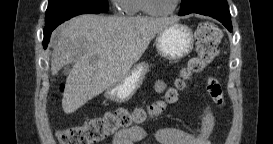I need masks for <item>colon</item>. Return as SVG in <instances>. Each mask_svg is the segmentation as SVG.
Listing matches in <instances>:
<instances>
[{
  "label": "colon",
  "instance_id": "5ec220e1",
  "mask_svg": "<svg viewBox=\"0 0 273 144\" xmlns=\"http://www.w3.org/2000/svg\"><path fill=\"white\" fill-rule=\"evenodd\" d=\"M220 38V30L214 22H201L196 30L197 56L190 60L180 78L176 79L174 85L166 92L164 100L152 102L145 108H136L132 111L117 108L101 117L89 119L82 125L62 129L59 132L61 143H98L128 128L133 123L160 114L166 103L174 102L177 99L179 91L184 86L185 79L191 74L202 72L212 62L218 53ZM62 89L61 86L60 90Z\"/></svg>",
  "mask_w": 273,
  "mask_h": 144
}]
</instances>
